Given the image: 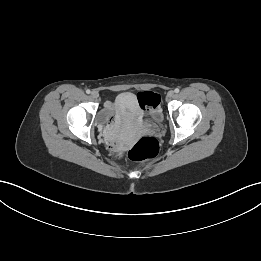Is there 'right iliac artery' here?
<instances>
[{"mask_svg": "<svg viewBox=\"0 0 261 261\" xmlns=\"http://www.w3.org/2000/svg\"><path fill=\"white\" fill-rule=\"evenodd\" d=\"M86 93H87V94H90V93H91V91H90L89 89H87V90H86Z\"/></svg>", "mask_w": 261, "mask_h": 261, "instance_id": "obj_1", "label": "right iliac artery"}]
</instances>
